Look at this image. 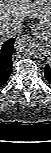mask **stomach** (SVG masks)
<instances>
[{
    "label": "stomach",
    "instance_id": "1",
    "mask_svg": "<svg viewBox=\"0 0 51 153\" xmlns=\"http://www.w3.org/2000/svg\"><path fill=\"white\" fill-rule=\"evenodd\" d=\"M40 33L39 37L41 38L43 44L47 47L51 46V24L50 26H45L41 24L39 26Z\"/></svg>",
    "mask_w": 51,
    "mask_h": 153
}]
</instances>
